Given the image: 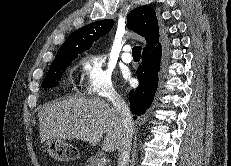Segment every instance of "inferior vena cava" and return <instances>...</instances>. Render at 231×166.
<instances>
[{
  "instance_id": "obj_1",
  "label": "inferior vena cava",
  "mask_w": 231,
  "mask_h": 166,
  "mask_svg": "<svg viewBox=\"0 0 231 166\" xmlns=\"http://www.w3.org/2000/svg\"><path fill=\"white\" fill-rule=\"evenodd\" d=\"M111 102L123 123V140L119 149L117 166H127L133 138V120L128 105L119 95H112Z\"/></svg>"
}]
</instances>
